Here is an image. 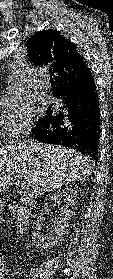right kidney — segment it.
<instances>
[{
    "instance_id": "obj_1",
    "label": "right kidney",
    "mask_w": 113,
    "mask_h": 279,
    "mask_svg": "<svg viewBox=\"0 0 113 279\" xmlns=\"http://www.w3.org/2000/svg\"><path fill=\"white\" fill-rule=\"evenodd\" d=\"M77 196V191L71 188H65L62 191H58L53 196L50 197V200L53 204L63 202V206L60 208V219L54 220V225L52 228L44 231L40 222L41 216L44 214V210L41 211L40 216L33 224V236L37 241V245L44 249L52 248L57 242L62 238L65 229L68 227V224L73 215V209L75 207V200Z\"/></svg>"
}]
</instances>
